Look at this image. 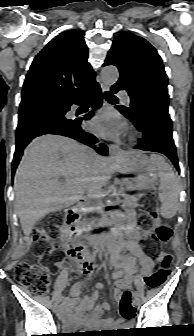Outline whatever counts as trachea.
<instances>
[{
    "instance_id": "trachea-1",
    "label": "trachea",
    "mask_w": 194,
    "mask_h": 336,
    "mask_svg": "<svg viewBox=\"0 0 194 336\" xmlns=\"http://www.w3.org/2000/svg\"><path fill=\"white\" fill-rule=\"evenodd\" d=\"M104 98L108 101L110 100H118L116 96L112 95L110 92L104 93Z\"/></svg>"
}]
</instances>
